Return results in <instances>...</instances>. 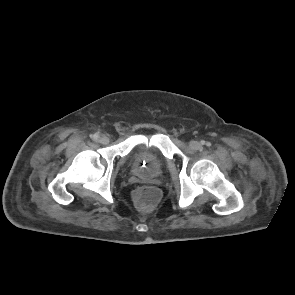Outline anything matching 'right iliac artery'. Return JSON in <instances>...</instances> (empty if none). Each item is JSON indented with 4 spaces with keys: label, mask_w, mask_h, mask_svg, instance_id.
Here are the masks:
<instances>
[{
    "label": "right iliac artery",
    "mask_w": 295,
    "mask_h": 295,
    "mask_svg": "<svg viewBox=\"0 0 295 295\" xmlns=\"http://www.w3.org/2000/svg\"><path fill=\"white\" fill-rule=\"evenodd\" d=\"M98 138H99V135H98V134H94V135H92V139H93V140H98Z\"/></svg>",
    "instance_id": "1"
}]
</instances>
